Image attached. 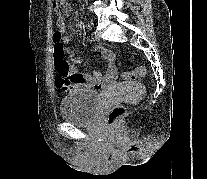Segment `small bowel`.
<instances>
[{
    "label": "small bowel",
    "instance_id": "c3829d8e",
    "mask_svg": "<svg viewBox=\"0 0 207 179\" xmlns=\"http://www.w3.org/2000/svg\"><path fill=\"white\" fill-rule=\"evenodd\" d=\"M71 13L72 7L68 5L65 15H70ZM57 27L58 31L62 34L65 33V20L62 17L57 20ZM65 41H67V38H65ZM94 50L106 60L105 72L101 73L95 71L87 74L78 73L76 67L81 63V60L70 58V72L72 75L79 76L80 78L74 87L79 89L102 90L116 83L118 75L116 68V54L112 50L101 45H95Z\"/></svg>",
    "mask_w": 207,
    "mask_h": 179
}]
</instances>
